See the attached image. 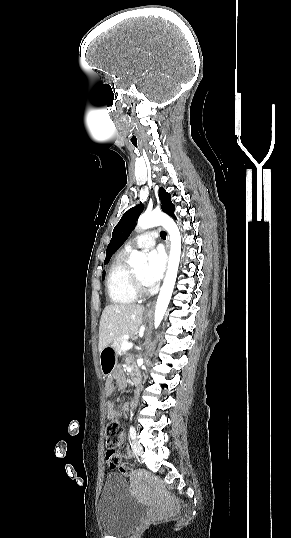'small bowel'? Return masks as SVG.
<instances>
[{
    "mask_svg": "<svg viewBox=\"0 0 291 538\" xmlns=\"http://www.w3.org/2000/svg\"><path fill=\"white\" fill-rule=\"evenodd\" d=\"M114 380L116 381V384L118 386V388H125L126 385H127V381L125 380V378H123L118 372H116L114 374ZM115 390V385L113 383V380L112 379H108L106 381V384H105V393L107 396H110L111 394H113ZM107 415L110 419H117L119 417V412L118 410L115 408L114 404L112 402H108L107 403ZM123 442V439L121 440V442L117 445V446H120ZM132 456V453H131V450L130 449H126V451L122 454V457L125 458V459H129L131 458ZM110 467L112 469H114L115 467L114 466H111Z\"/></svg>",
    "mask_w": 291,
    "mask_h": 538,
    "instance_id": "small-bowel-1",
    "label": "small bowel"
}]
</instances>
